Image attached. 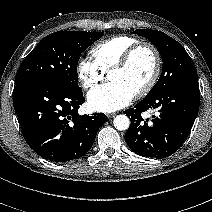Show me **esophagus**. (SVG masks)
I'll list each match as a JSON object with an SVG mask.
<instances>
[{
  "instance_id": "obj_1",
  "label": "esophagus",
  "mask_w": 212,
  "mask_h": 212,
  "mask_svg": "<svg viewBox=\"0 0 212 212\" xmlns=\"http://www.w3.org/2000/svg\"><path fill=\"white\" fill-rule=\"evenodd\" d=\"M116 116V113H109V114H107V117L108 118H113V117H115Z\"/></svg>"
}]
</instances>
